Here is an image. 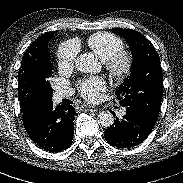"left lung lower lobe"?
Listing matches in <instances>:
<instances>
[{"instance_id": "obj_1", "label": "left lung lower lobe", "mask_w": 183, "mask_h": 183, "mask_svg": "<svg viewBox=\"0 0 183 183\" xmlns=\"http://www.w3.org/2000/svg\"><path fill=\"white\" fill-rule=\"evenodd\" d=\"M156 120V117L136 107H127L123 118H116L113 126L104 131V136L110 145L129 149L148 137Z\"/></svg>"}]
</instances>
